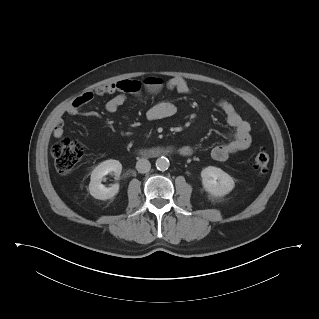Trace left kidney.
I'll list each match as a JSON object with an SVG mask.
<instances>
[{
    "mask_svg": "<svg viewBox=\"0 0 319 319\" xmlns=\"http://www.w3.org/2000/svg\"><path fill=\"white\" fill-rule=\"evenodd\" d=\"M202 184L204 189L214 196H224L230 193L234 186L233 178L214 166H208L201 171Z\"/></svg>",
    "mask_w": 319,
    "mask_h": 319,
    "instance_id": "obj_1",
    "label": "left kidney"
}]
</instances>
